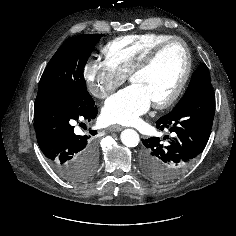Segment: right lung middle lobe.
<instances>
[{"instance_id":"obj_1","label":"right lung middle lobe","mask_w":236,"mask_h":236,"mask_svg":"<svg viewBox=\"0 0 236 236\" xmlns=\"http://www.w3.org/2000/svg\"><path fill=\"white\" fill-rule=\"evenodd\" d=\"M101 34L79 35L67 40L47 64L38 87L37 98H54L76 106L93 104L86 89L83 69ZM97 166L92 158L80 169L79 180L90 177Z\"/></svg>"}]
</instances>
